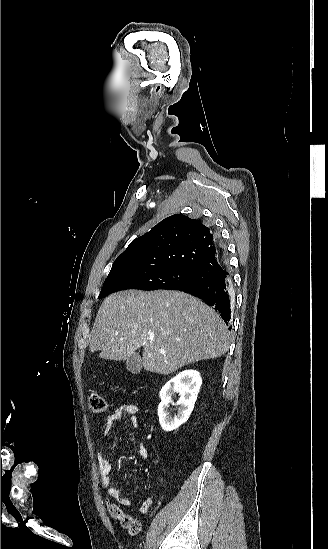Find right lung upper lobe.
I'll list each match as a JSON object with an SVG mask.
<instances>
[{
	"label": "right lung upper lobe",
	"instance_id": "1",
	"mask_svg": "<svg viewBox=\"0 0 328 549\" xmlns=\"http://www.w3.org/2000/svg\"><path fill=\"white\" fill-rule=\"evenodd\" d=\"M224 262L211 228L200 220L174 214L134 239L114 261L110 272L146 264L184 268L211 277L223 271Z\"/></svg>",
	"mask_w": 328,
	"mask_h": 549
}]
</instances>
